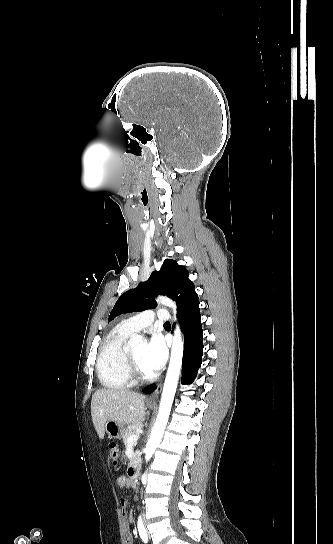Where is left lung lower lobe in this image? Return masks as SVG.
<instances>
[{"label":"left lung lower lobe","mask_w":333,"mask_h":544,"mask_svg":"<svg viewBox=\"0 0 333 544\" xmlns=\"http://www.w3.org/2000/svg\"><path fill=\"white\" fill-rule=\"evenodd\" d=\"M178 318L184 333V354L182 363V383H192L202 363L203 330L199 301L178 309ZM155 385L145 388L144 393H151Z\"/></svg>","instance_id":"obj_1"}]
</instances>
